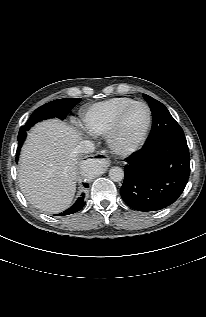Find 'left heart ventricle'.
Returning a JSON list of instances; mask_svg holds the SVG:
<instances>
[{
	"instance_id": "obj_1",
	"label": "left heart ventricle",
	"mask_w": 206,
	"mask_h": 317,
	"mask_svg": "<svg viewBox=\"0 0 206 317\" xmlns=\"http://www.w3.org/2000/svg\"><path fill=\"white\" fill-rule=\"evenodd\" d=\"M147 123V110L143 105L133 106L125 115L118 133V141L130 145L137 141Z\"/></svg>"
}]
</instances>
